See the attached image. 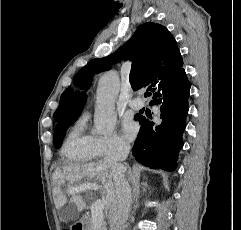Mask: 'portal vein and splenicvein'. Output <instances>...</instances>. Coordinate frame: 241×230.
Instances as JSON below:
<instances>
[{"label":"portal vein and splenic vein","instance_id":"18ae733b","mask_svg":"<svg viewBox=\"0 0 241 230\" xmlns=\"http://www.w3.org/2000/svg\"><path fill=\"white\" fill-rule=\"evenodd\" d=\"M85 189H88V188H85ZM105 205H107V200L101 199V200L95 201L91 206L93 223H95L96 225L100 224L104 219L103 209Z\"/></svg>","mask_w":241,"mask_h":230}]
</instances>
